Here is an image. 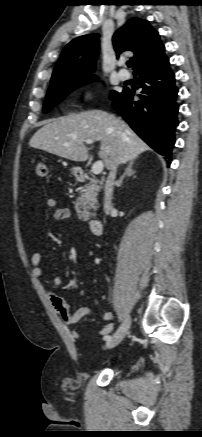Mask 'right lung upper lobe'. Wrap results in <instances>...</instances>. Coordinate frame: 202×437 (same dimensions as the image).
I'll return each instance as SVG.
<instances>
[{
  "label": "right lung upper lobe",
  "instance_id": "right-lung-upper-lobe-1",
  "mask_svg": "<svg viewBox=\"0 0 202 437\" xmlns=\"http://www.w3.org/2000/svg\"><path fill=\"white\" fill-rule=\"evenodd\" d=\"M117 54L130 50L134 70L150 64L163 55L165 47L159 34L148 21L130 19L113 36ZM99 53V34H88L75 38L63 50L52 74L51 83L92 75ZM51 84V85H52Z\"/></svg>",
  "mask_w": 202,
  "mask_h": 437
}]
</instances>
